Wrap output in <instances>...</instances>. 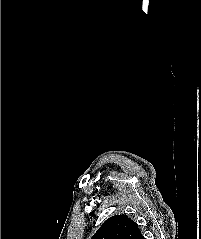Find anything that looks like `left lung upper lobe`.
<instances>
[{
	"instance_id": "obj_1",
	"label": "left lung upper lobe",
	"mask_w": 201,
	"mask_h": 239,
	"mask_svg": "<svg viewBox=\"0 0 201 239\" xmlns=\"http://www.w3.org/2000/svg\"><path fill=\"white\" fill-rule=\"evenodd\" d=\"M91 239H144L138 225L127 215L108 218Z\"/></svg>"
}]
</instances>
